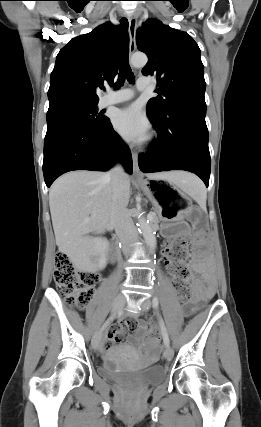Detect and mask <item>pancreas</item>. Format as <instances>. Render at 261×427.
Wrapping results in <instances>:
<instances>
[{
    "label": "pancreas",
    "instance_id": "pancreas-1",
    "mask_svg": "<svg viewBox=\"0 0 261 427\" xmlns=\"http://www.w3.org/2000/svg\"><path fill=\"white\" fill-rule=\"evenodd\" d=\"M150 220L152 221V223L154 225L158 224V222H159V216L157 215L156 212H151V218H150Z\"/></svg>",
    "mask_w": 261,
    "mask_h": 427
}]
</instances>
